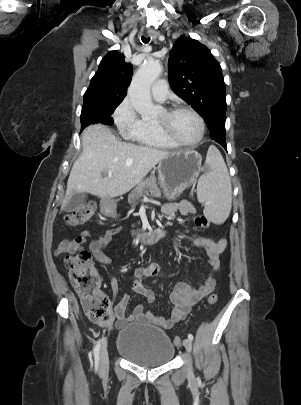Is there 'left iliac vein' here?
<instances>
[{
    "label": "left iliac vein",
    "instance_id": "left-iliac-vein-1",
    "mask_svg": "<svg viewBox=\"0 0 301 405\" xmlns=\"http://www.w3.org/2000/svg\"><path fill=\"white\" fill-rule=\"evenodd\" d=\"M183 345L186 348L187 352L190 353L192 350V341L190 339H185Z\"/></svg>",
    "mask_w": 301,
    "mask_h": 405
}]
</instances>
